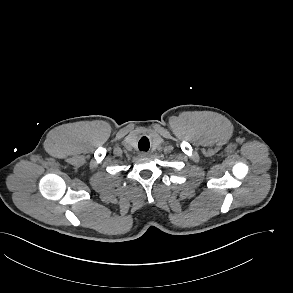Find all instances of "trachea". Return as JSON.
<instances>
[{"instance_id": "trachea-1", "label": "trachea", "mask_w": 293, "mask_h": 293, "mask_svg": "<svg viewBox=\"0 0 293 293\" xmlns=\"http://www.w3.org/2000/svg\"><path fill=\"white\" fill-rule=\"evenodd\" d=\"M150 147L149 140L147 137H142L138 143V148L141 151H148Z\"/></svg>"}]
</instances>
